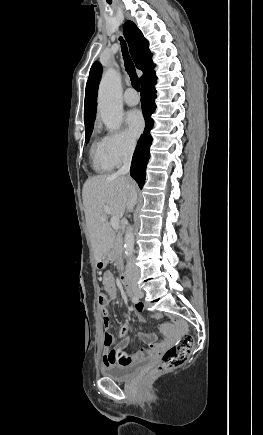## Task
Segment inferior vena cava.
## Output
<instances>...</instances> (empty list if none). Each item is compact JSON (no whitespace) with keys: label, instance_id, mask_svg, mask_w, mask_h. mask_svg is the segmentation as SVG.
Segmentation results:
<instances>
[{"label":"inferior vena cava","instance_id":"602c4592","mask_svg":"<svg viewBox=\"0 0 263 435\" xmlns=\"http://www.w3.org/2000/svg\"><path fill=\"white\" fill-rule=\"evenodd\" d=\"M135 149V145H130L127 148V151L123 157V165L122 167L117 171V175L119 176H126L127 178H129V171H130V166H131V160H132V155ZM137 201V193L135 188L130 189L129 194H128V199H127V208L128 210L133 209L134 205L136 204ZM126 273L127 275H133V274H138L139 270L136 267L134 261L132 259H130L127 262L126 265Z\"/></svg>","mask_w":263,"mask_h":435}]
</instances>
